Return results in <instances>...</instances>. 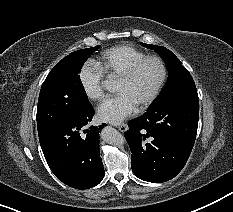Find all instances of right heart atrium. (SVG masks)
Segmentation results:
<instances>
[{
    "label": "right heart atrium",
    "mask_w": 233,
    "mask_h": 212,
    "mask_svg": "<svg viewBox=\"0 0 233 212\" xmlns=\"http://www.w3.org/2000/svg\"><path fill=\"white\" fill-rule=\"evenodd\" d=\"M104 73L93 62H86L79 72V81L86 97L96 101L103 97V82Z\"/></svg>",
    "instance_id": "d8ad5b80"
}]
</instances>
